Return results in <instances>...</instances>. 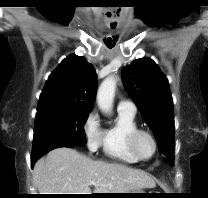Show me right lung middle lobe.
<instances>
[{"instance_id": "right-lung-middle-lobe-1", "label": "right lung middle lobe", "mask_w": 208, "mask_h": 198, "mask_svg": "<svg viewBox=\"0 0 208 198\" xmlns=\"http://www.w3.org/2000/svg\"><path fill=\"white\" fill-rule=\"evenodd\" d=\"M89 110L73 107H50L37 110L33 138V153L57 141L77 146L86 144L84 124Z\"/></svg>"}]
</instances>
